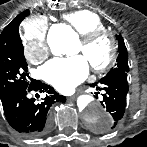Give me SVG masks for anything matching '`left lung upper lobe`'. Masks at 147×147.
I'll list each match as a JSON object with an SVG mask.
<instances>
[{"label": "left lung upper lobe", "instance_id": "1", "mask_svg": "<svg viewBox=\"0 0 147 147\" xmlns=\"http://www.w3.org/2000/svg\"><path fill=\"white\" fill-rule=\"evenodd\" d=\"M116 37L119 42V55L117 58V64L113 68H111V70L102 79H106L120 73L129 72L128 54L124 40L121 35H116Z\"/></svg>", "mask_w": 147, "mask_h": 147}]
</instances>
